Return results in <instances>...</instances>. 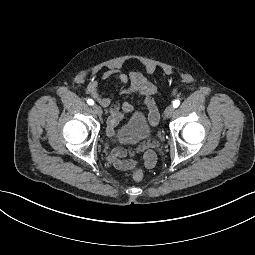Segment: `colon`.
I'll return each mask as SVG.
<instances>
[{
	"mask_svg": "<svg viewBox=\"0 0 255 255\" xmlns=\"http://www.w3.org/2000/svg\"><path fill=\"white\" fill-rule=\"evenodd\" d=\"M132 177H133V179H134L136 182H140V181H142V180L144 179L145 174H144L143 170L137 169V170H135V171L133 172Z\"/></svg>",
	"mask_w": 255,
	"mask_h": 255,
	"instance_id": "colon-1",
	"label": "colon"
}]
</instances>
